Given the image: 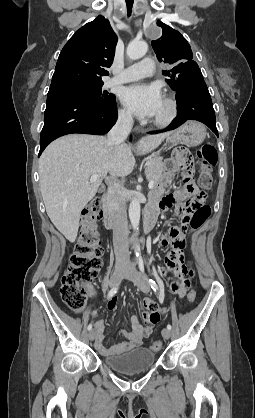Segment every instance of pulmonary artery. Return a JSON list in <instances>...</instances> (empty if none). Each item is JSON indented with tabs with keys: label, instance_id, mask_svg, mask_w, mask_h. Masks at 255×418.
<instances>
[{
	"label": "pulmonary artery",
	"instance_id": "obj_1",
	"mask_svg": "<svg viewBox=\"0 0 255 418\" xmlns=\"http://www.w3.org/2000/svg\"><path fill=\"white\" fill-rule=\"evenodd\" d=\"M155 70V63L151 58H144L139 63L123 69L110 80V84L126 83L151 76Z\"/></svg>",
	"mask_w": 255,
	"mask_h": 418
}]
</instances>
